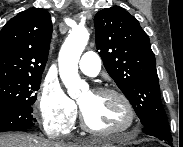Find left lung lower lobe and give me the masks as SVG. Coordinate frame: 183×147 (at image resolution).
I'll use <instances>...</instances> for the list:
<instances>
[{"label": "left lung lower lobe", "instance_id": "0a47b994", "mask_svg": "<svg viewBox=\"0 0 183 147\" xmlns=\"http://www.w3.org/2000/svg\"><path fill=\"white\" fill-rule=\"evenodd\" d=\"M143 131L147 135L155 136L161 140L168 141V142L172 141L169 126L147 125V126H144ZM169 145L172 146V143H169Z\"/></svg>", "mask_w": 183, "mask_h": 147}]
</instances>
